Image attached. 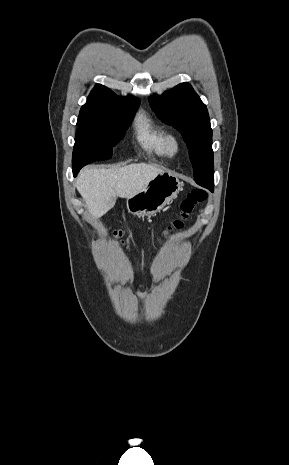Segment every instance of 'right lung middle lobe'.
I'll list each match as a JSON object with an SVG mask.
<instances>
[{"label": "right lung middle lobe", "mask_w": 289, "mask_h": 465, "mask_svg": "<svg viewBox=\"0 0 289 465\" xmlns=\"http://www.w3.org/2000/svg\"><path fill=\"white\" fill-rule=\"evenodd\" d=\"M139 102L118 103L110 108L108 121L101 124H80L76 132L73 165L85 166L94 161L109 159L112 147L125 135Z\"/></svg>", "instance_id": "1"}]
</instances>
